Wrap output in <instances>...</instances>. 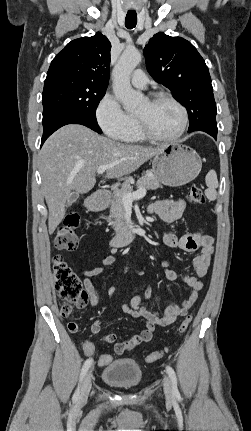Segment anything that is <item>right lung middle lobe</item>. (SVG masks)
I'll list each match as a JSON object with an SVG mask.
<instances>
[{
  "instance_id": "obj_1",
  "label": "right lung middle lobe",
  "mask_w": 251,
  "mask_h": 431,
  "mask_svg": "<svg viewBox=\"0 0 251 431\" xmlns=\"http://www.w3.org/2000/svg\"><path fill=\"white\" fill-rule=\"evenodd\" d=\"M107 85L62 72L48 73L42 94L43 121L60 113H75L96 120V108Z\"/></svg>"
}]
</instances>
